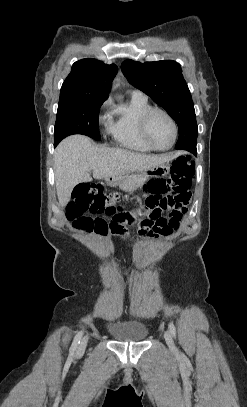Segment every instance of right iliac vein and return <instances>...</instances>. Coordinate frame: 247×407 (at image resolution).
<instances>
[{
    "mask_svg": "<svg viewBox=\"0 0 247 407\" xmlns=\"http://www.w3.org/2000/svg\"><path fill=\"white\" fill-rule=\"evenodd\" d=\"M87 343H88V336H85V337L83 338V340H82V342H81V344H80L78 350H77V353H78V354L84 353L85 348H86V346H87Z\"/></svg>",
    "mask_w": 247,
    "mask_h": 407,
    "instance_id": "63e3f726",
    "label": "right iliac vein"
}]
</instances>
